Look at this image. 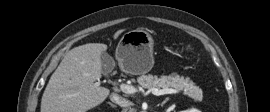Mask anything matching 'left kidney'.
<instances>
[{
    "instance_id": "1",
    "label": "left kidney",
    "mask_w": 270,
    "mask_h": 112,
    "mask_svg": "<svg viewBox=\"0 0 270 112\" xmlns=\"http://www.w3.org/2000/svg\"><path fill=\"white\" fill-rule=\"evenodd\" d=\"M180 112H201V111H199V110H197V109H191V110H189V111H180Z\"/></svg>"
}]
</instances>
